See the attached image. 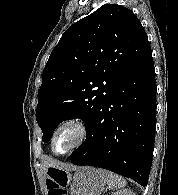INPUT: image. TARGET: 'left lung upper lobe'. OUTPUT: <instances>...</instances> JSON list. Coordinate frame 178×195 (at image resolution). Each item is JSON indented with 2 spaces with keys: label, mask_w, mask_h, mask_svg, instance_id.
I'll list each match as a JSON object with an SVG mask.
<instances>
[{
  "label": "left lung upper lobe",
  "mask_w": 178,
  "mask_h": 195,
  "mask_svg": "<svg viewBox=\"0 0 178 195\" xmlns=\"http://www.w3.org/2000/svg\"><path fill=\"white\" fill-rule=\"evenodd\" d=\"M150 52L139 19L118 4L71 25L43 70L36 108L42 141L64 120L80 118L87 130L114 85Z\"/></svg>",
  "instance_id": "left-lung-upper-lobe-1"
}]
</instances>
